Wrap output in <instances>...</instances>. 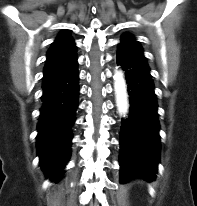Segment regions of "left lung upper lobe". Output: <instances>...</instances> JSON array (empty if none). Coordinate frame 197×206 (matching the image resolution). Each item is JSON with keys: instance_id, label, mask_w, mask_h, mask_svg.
Returning <instances> with one entry per match:
<instances>
[{"instance_id": "obj_1", "label": "left lung upper lobe", "mask_w": 197, "mask_h": 206, "mask_svg": "<svg viewBox=\"0 0 197 206\" xmlns=\"http://www.w3.org/2000/svg\"><path fill=\"white\" fill-rule=\"evenodd\" d=\"M119 45L136 54L144 63L147 64L141 45L135 40V38L131 34L125 33L121 37V43Z\"/></svg>"}]
</instances>
